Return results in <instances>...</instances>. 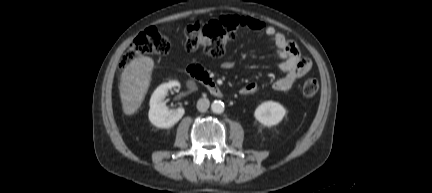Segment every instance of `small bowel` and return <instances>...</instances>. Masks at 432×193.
Instances as JSON below:
<instances>
[{
  "label": "small bowel",
  "instance_id": "small-bowel-1",
  "mask_svg": "<svg viewBox=\"0 0 432 193\" xmlns=\"http://www.w3.org/2000/svg\"><path fill=\"white\" fill-rule=\"evenodd\" d=\"M221 20L236 29L244 28L269 37L276 47L277 56L280 58L277 66L281 71L285 72L283 77L273 82L272 88L275 91L285 92L290 90L300 78L310 71L312 67L311 60L303 56L298 46L273 26L248 16H226L221 18ZM235 65V61L228 60L223 61L220 67L224 70H229L234 68ZM257 90L258 85L254 82H249L241 87L239 92L241 95L247 96L256 93Z\"/></svg>",
  "mask_w": 432,
  "mask_h": 193
}]
</instances>
